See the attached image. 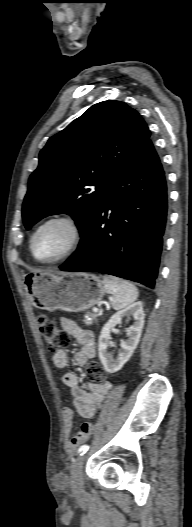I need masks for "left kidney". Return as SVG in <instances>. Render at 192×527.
Returning <instances> with one entry per match:
<instances>
[{
  "label": "left kidney",
  "instance_id": "obj_1",
  "mask_svg": "<svg viewBox=\"0 0 192 527\" xmlns=\"http://www.w3.org/2000/svg\"><path fill=\"white\" fill-rule=\"evenodd\" d=\"M125 316H133L134 324L127 329L128 339L121 343V351L119 352L118 357L114 359L107 351L109 340L111 339L110 334L112 329L117 324L121 323L122 318ZM144 318L145 314L142 303L136 302L112 315L108 322L103 326L99 336L98 351L99 359L108 373L119 371L133 355L141 337Z\"/></svg>",
  "mask_w": 192,
  "mask_h": 527
}]
</instances>
